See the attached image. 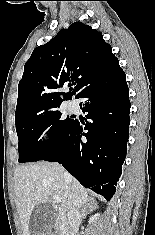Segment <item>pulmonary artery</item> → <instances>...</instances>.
<instances>
[{
  "label": "pulmonary artery",
  "mask_w": 155,
  "mask_h": 235,
  "mask_svg": "<svg viewBox=\"0 0 155 235\" xmlns=\"http://www.w3.org/2000/svg\"><path fill=\"white\" fill-rule=\"evenodd\" d=\"M69 108L72 112H75L78 110V105L75 101H71L69 104Z\"/></svg>",
  "instance_id": "obj_1"
}]
</instances>
